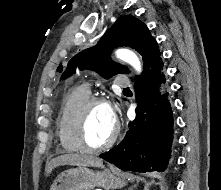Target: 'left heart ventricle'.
<instances>
[{
  "label": "left heart ventricle",
  "instance_id": "obj_1",
  "mask_svg": "<svg viewBox=\"0 0 221 190\" xmlns=\"http://www.w3.org/2000/svg\"><path fill=\"white\" fill-rule=\"evenodd\" d=\"M115 122L112 120L111 111L108 106H94L88 116L85 127L87 142L92 146L106 142L112 135Z\"/></svg>",
  "mask_w": 221,
  "mask_h": 190
}]
</instances>
